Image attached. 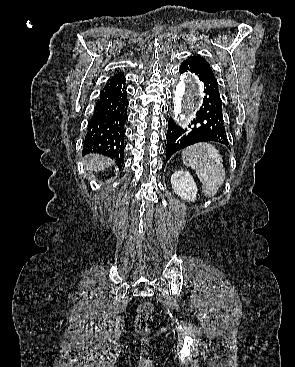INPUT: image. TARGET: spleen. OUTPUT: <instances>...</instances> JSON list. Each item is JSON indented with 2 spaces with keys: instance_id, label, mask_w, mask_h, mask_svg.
<instances>
[{
  "instance_id": "1",
  "label": "spleen",
  "mask_w": 295,
  "mask_h": 367,
  "mask_svg": "<svg viewBox=\"0 0 295 367\" xmlns=\"http://www.w3.org/2000/svg\"><path fill=\"white\" fill-rule=\"evenodd\" d=\"M186 167L196 171L206 197H213L225 180V168L219 151L211 144L198 143L182 151Z\"/></svg>"
}]
</instances>
